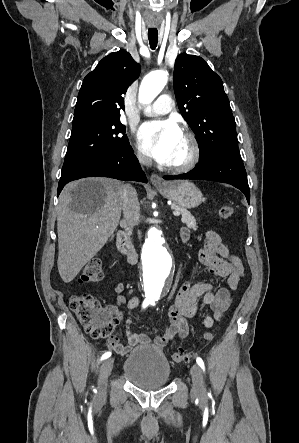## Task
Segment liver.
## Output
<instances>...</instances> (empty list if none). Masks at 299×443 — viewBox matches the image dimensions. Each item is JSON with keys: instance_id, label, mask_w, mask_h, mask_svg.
I'll return each instance as SVG.
<instances>
[{"instance_id": "liver-1", "label": "liver", "mask_w": 299, "mask_h": 443, "mask_svg": "<svg viewBox=\"0 0 299 443\" xmlns=\"http://www.w3.org/2000/svg\"><path fill=\"white\" fill-rule=\"evenodd\" d=\"M124 184L109 178L69 183L57 207L60 277L71 282L116 230L122 212Z\"/></svg>"}]
</instances>
